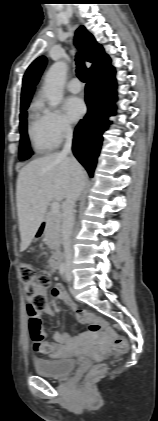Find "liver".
Returning a JSON list of instances; mask_svg holds the SVG:
<instances>
[{
	"instance_id": "obj_1",
	"label": "liver",
	"mask_w": 158,
	"mask_h": 421,
	"mask_svg": "<svg viewBox=\"0 0 158 421\" xmlns=\"http://www.w3.org/2000/svg\"><path fill=\"white\" fill-rule=\"evenodd\" d=\"M71 158L52 153L37 158L19 172L16 186L21 250L31 244L49 203L62 201L72 183Z\"/></svg>"
}]
</instances>
